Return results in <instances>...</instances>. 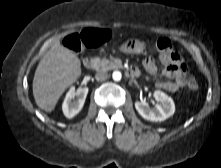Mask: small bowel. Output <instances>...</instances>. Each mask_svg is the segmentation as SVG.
Wrapping results in <instances>:
<instances>
[{
	"instance_id": "c3829d8e",
	"label": "small bowel",
	"mask_w": 221,
	"mask_h": 168,
	"mask_svg": "<svg viewBox=\"0 0 221 168\" xmlns=\"http://www.w3.org/2000/svg\"><path fill=\"white\" fill-rule=\"evenodd\" d=\"M160 58L164 64V70L162 74L168 78V80L159 81L156 83V86L160 89H164L170 92H175L183 88L190 80L187 61L174 51H172L168 56L160 55ZM143 67L150 75L157 73L155 60L150 56L143 60ZM136 70L138 71V69Z\"/></svg>"
}]
</instances>
